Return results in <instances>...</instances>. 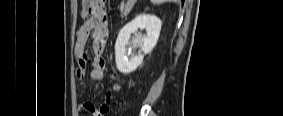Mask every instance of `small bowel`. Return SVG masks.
<instances>
[{
	"mask_svg": "<svg viewBox=\"0 0 283 116\" xmlns=\"http://www.w3.org/2000/svg\"><path fill=\"white\" fill-rule=\"evenodd\" d=\"M103 0H84L82 17L85 19L76 33L74 54L78 62L76 76L83 80L86 76V69L90 57L87 53V46L91 39L92 67L89 73L93 81H101L104 78L106 62L103 52L108 39V18L106 15ZM112 93L107 91L105 101L99 107L92 103H84L83 109L92 116H106L110 110Z\"/></svg>",
	"mask_w": 283,
	"mask_h": 116,
	"instance_id": "1",
	"label": "small bowel"
}]
</instances>
